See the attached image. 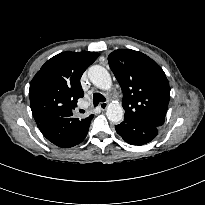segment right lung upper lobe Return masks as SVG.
I'll return each instance as SVG.
<instances>
[{
	"instance_id": "cb5924a9",
	"label": "right lung upper lobe",
	"mask_w": 205,
	"mask_h": 205,
	"mask_svg": "<svg viewBox=\"0 0 205 205\" xmlns=\"http://www.w3.org/2000/svg\"><path fill=\"white\" fill-rule=\"evenodd\" d=\"M96 52H62L49 59L36 73L29 89L32 114L37 124L52 117L67 118L65 133L76 137L89 116L72 118L77 100L84 95L80 84L83 72L96 60Z\"/></svg>"
}]
</instances>
